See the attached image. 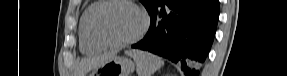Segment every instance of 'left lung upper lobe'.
Returning <instances> with one entry per match:
<instances>
[{
  "instance_id": "left-lung-upper-lobe-1",
  "label": "left lung upper lobe",
  "mask_w": 287,
  "mask_h": 76,
  "mask_svg": "<svg viewBox=\"0 0 287 76\" xmlns=\"http://www.w3.org/2000/svg\"><path fill=\"white\" fill-rule=\"evenodd\" d=\"M164 0H140V2L145 6L149 14L153 11L155 7L161 4Z\"/></svg>"
}]
</instances>
